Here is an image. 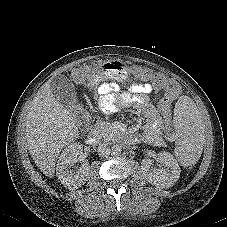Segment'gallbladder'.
<instances>
[{
  "instance_id": "gallbladder-1",
  "label": "gallbladder",
  "mask_w": 227,
  "mask_h": 227,
  "mask_svg": "<svg viewBox=\"0 0 227 227\" xmlns=\"http://www.w3.org/2000/svg\"><path fill=\"white\" fill-rule=\"evenodd\" d=\"M50 89L59 102L69 106H74L77 103L74 84L64 75H57L52 78Z\"/></svg>"
}]
</instances>
